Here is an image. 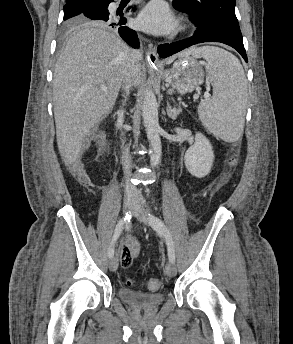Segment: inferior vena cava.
Instances as JSON below:
<instances>
[{"label": "inferior vena cava", "instance_id": "obj_1", "mask_svg": "<svg viewBox=\"0 0 293 344\" xmlns=\"http://www.w3.org/2000/svg\"><path fill=\"white\" fill-rule=\"evenodd\" d=\"M142 59V54L139 50L134 49L130 53L131 67L126 73L123 80V89L126 94H129L130 88L133 85L134 77L140 68L139 61ZM119 116L121 120L124 119L123 110H120ZM122 166L125 175V196L128 198H138L141 196L140 191L130 183V167H131V157L129 154V148L124 147L122 151Z\"/></svg>", "mask_w": 293, "mask_h": 344}]
</instances>
